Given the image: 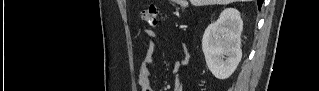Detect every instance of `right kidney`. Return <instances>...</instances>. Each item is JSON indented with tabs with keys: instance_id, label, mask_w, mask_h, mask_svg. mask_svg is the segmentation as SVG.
<instances>
[{
	"instance_id": "1",
	"label": "right kidney",
	"mask_w": 319,
	"mask_h": 91,
	"mask_svg": "<svg viewBox=\"0 0 319 91\" xmlns=\"http://www.w3.org/2000/svg\"><path fill=\"white\" fill-rule=\"evenodd\" d=\"M242 29L239 11L227 8L221 12L218 20L205 30L202 50L206 64L216 78L226 79L236 70L242 58Z\"/></svg>"
}]
</instances>
